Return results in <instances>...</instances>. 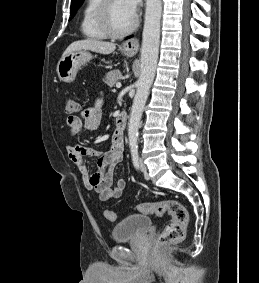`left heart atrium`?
Masks as SVG:
<instances>
[{
    "instance_id": "obj_1",
    "label": "left heart atrium",
    "mask_w": 259,
    "mask_h": 283,
    "mask_svg": "<svg viewBox=\"0 0 259 283\" xmlns=\"http://www.w3.org/2000/svg\"><path fill=\"white\" fill-rule=\"evenodd\" d=\"M126 10L134 17L141 0H122Z\"/></svg>"
}]
</instances>
